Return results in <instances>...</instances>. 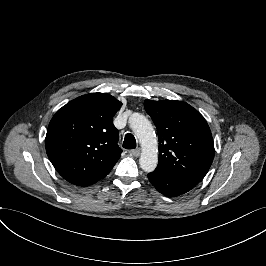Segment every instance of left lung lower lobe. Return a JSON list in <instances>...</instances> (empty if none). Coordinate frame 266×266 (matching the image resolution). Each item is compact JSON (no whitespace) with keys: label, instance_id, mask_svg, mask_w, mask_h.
Returning a JSON list of instances; mask_svg holds the SVG:
<instances>
[{"label":"left lung lower lobe","instance_id":"0a47b994","mask_svg":"<svg viewBox=\"0 0 266 266\" xmlns=\"http://www.w3.org/2000/svg\"><path fill=\"white\" fill-rule=\"evenodd\" d=\"M148 178L160 193L168 197L179 196L190 191L194 187L158 171L149 173Z\"/></svg>","mask_w":266,"mask_h":266}]
</instances>
